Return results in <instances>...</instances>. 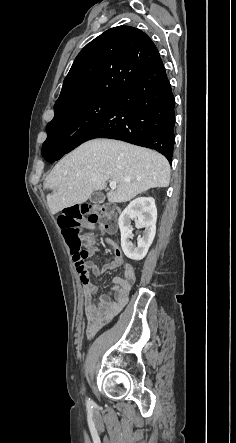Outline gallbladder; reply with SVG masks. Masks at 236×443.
Wrapping results in <instances>:
<instances>
[{
  "label": "gallbladder",
  "instance_id": "bac80fb5",
  "mask_svg": "<svg viewBox=\"0 0 236 443\" xmlns=\"http://www.w3.org/2000/svg\"><path fill=\"white\" fill-rule=\"evenodd\" d=\"M104 200H105V196H104V194L101 193V192H98V191L92 193V195H91V197H90V201H91L92 203H101V202H103Z\"/></svg>",
  "mask_w": 236,
  "mask_h": 443
}]
</instances>
